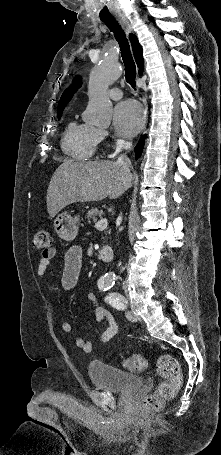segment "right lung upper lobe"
Listing matches in <instances>:
<instances>
[{"instance_id": "1", "label": "right lung upper lobe", "mask_w": 221, "mask_h": 455, "mask_svg": "<svg viewBox=\"0 0 221 455\" xmlns=\"http://www.w3.org/2000/svg\"><path fill=\"white\" fill-rule=\"evenodd\" d=\"M129 38H130V41H131V44H132V49H133L135 60L137 62L138 67L140 68L139 69V73L141 74L142 71H143L142 47L139 44L136 36H134L133 34H130ZM80 86H81V79L79 77L75 78L72 87L66 89L64 91V93L62 94V96L60 98V101H59L58 109H62V108L64 109L66 104L71 99L73 93Z\"/></svg>"}]
</instances>
